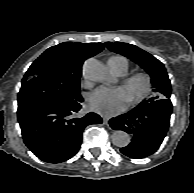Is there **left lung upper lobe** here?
Listing matches in <instances>:
<instances>
[{"label": "left lung upper lobe", "instance_id": "5c2ea615", "mask_svg": "<svg viewBox=\"0 0 194 193\" xmlns=\"http://www.w3.org/2000/svg\"><path fill=\"white\" fill-rule=\"evenodd\" d=\"M106 46L113 52L127 56L150 74L154 95L149 99L142 101L138 106L170 98L171 84L163 63L135 45L106 42Z\"/></svg>", "mask_w": 194, "mask_h": 193}]
</instances>
